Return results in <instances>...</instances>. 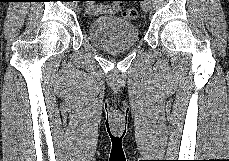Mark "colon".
<instances>
[{
	"label": "colon",
	"mask_w": 229,
	"mask_h": 161,
	"mask_svg": "<svg viewBox=\"0 0 229 161\" xmlns=\"http://www.w3.org/2000/svg\"><path fill=\"white\" fill-rule=\"evenodd\" d=\"M90 1H94V0H90ZM137 15H138V12L134 8H127L123 12L124 18H126L128 20H134V19H136Z\"/></svg>",
	"instance_id": "obj_1"
}]
</instances>
